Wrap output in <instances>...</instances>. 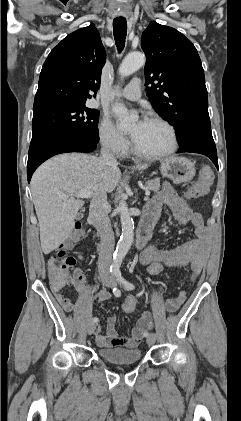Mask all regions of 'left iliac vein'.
<instances>
[{
	"instance_id": "left-iliac-vein-1",
	"label": "left iliac vein",
	"mask_w": 241,
	"mask_h": 421,
	"mask_svg": "<svg viewBox=\"0 0 241 421\" xmlns=\"http://www.w3.org/2000/svg\"><path fill=\"white\" fill-rule=\"evenodd\" d=\"M146 341H147V344H148V345H153V344L155 343V341H156V335H155L154 333H151V334L147 337Z\"/></svg>"
}]
</instances>
